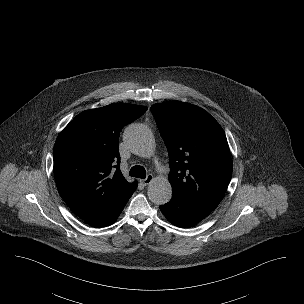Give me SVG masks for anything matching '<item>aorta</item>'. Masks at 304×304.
Wrapping results in <instances>:
<instances>
[{"instance_id":"1","label":"aorta","mask_w":304,"mask_h":304,"mask_svg":"<svg viewBox=\"0 0 304 304\" xmlns=\"http://www.w3.org/2000/svg\"><path fill=\"white\" fill-rule=\"evenodd\" d=\"M124 140L130 150L141 157H150L155 151L153 134L145 125L134 124L129 126L125 130ZM147 193L154 204H166L172 197L171 184L166 178H157L149 184Z\"/></svg>"}]
</instances>
